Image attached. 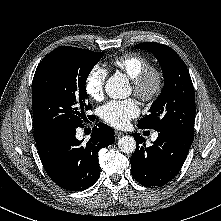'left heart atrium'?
Masks as SVG:
<instances>
[{
    "label": "left heart atrium",
    "mask_w": 221,
    "mask_h": 221,
    "mask_svg": "<svg viewBox=\"0 0 221 221\" xmlns=\"http://www.w3.org/2000/svg\"><path fill=\"white\" fill-rule=\"evenodd\" d=\"M100 118L115 128H124L129 121L136 118L140 109L134 99L123 101L112 100L102 105L99 110Z\"/></svg>",
    "instance_id": "obj_1"
}]
</instances>
